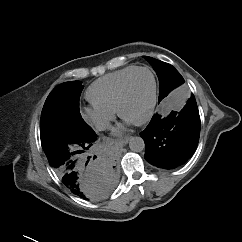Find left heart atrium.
Wrapping results in <instances>:
<instances>
[{"label":"left heart atrium","instance_id":"39dd6f15","mask_svg":"<svg viewBox=\"0 0 242 242\" xmlns=\"http://www.w3.org/2000/svg\"><path fill=\"white\" fill-rule=\"evenodd\" d=\"M124 121H125V124H130V123H131L130 120L125 119V118H124ZM121 131H122V127H119V128H117V129L115 130V133H116V134H119Z\"/></svg>","mask_w":242,"mask_h":242}]
</instances>
